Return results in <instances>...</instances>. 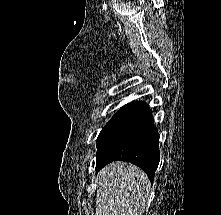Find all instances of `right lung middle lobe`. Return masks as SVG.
<instances>
[{"instance_id": "1", "label": "right lung middle lobe", "mask_w": 221, "mask_h": 215, "mask_svg": "<svg viewBox=\"0 0 221 215\" xmlns=\"http://www.w3.org/2000/svg\"><path fill=\"white\" fill-rule=\"evenodd\" d=\"M130 104L122 107L113 117L112 119L106 124V126L101 130L98 139H97V146L104 140V138L108 135L109 131L115 125V123L120 119V117L124 114Z\"/></svg>"}]
</instances>
